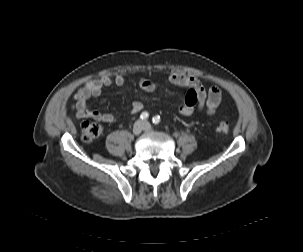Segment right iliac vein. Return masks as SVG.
Returning <instances> with one entry per match:
<instances>
[{
	"instance_id": "1",
	"label": "right iliac vein",
	"mask_w": 303,
	"mask_h": 252,
	"mask_svg": "<svg viewBox=\"0 0 303 252\" xmlns=\"http://www.w3.org/2000/svg\"><path fill=\"white\" fill-rule=\"evenodd\" d=\"M144 129V125L141 121H137L133 125V134L134 135H139Z\"/></svg>"
}]
</instances>
